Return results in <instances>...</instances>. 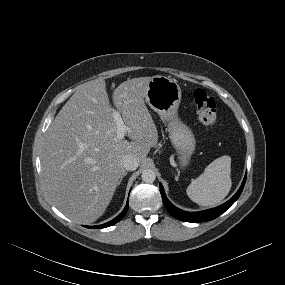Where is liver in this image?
<instances>
[{
	"mask_svg": "<svg viewBox=\"0 0 285 285\" xmlns=\"http://www.w3.org/2000/svg\"><path fill=\"white\" fill-rule=\"evenodd\" d=\"M151 79H129L113 93L131 142L116 137L102 79L80 85L48 128L41 154L43 186L72 221L89 224L102 216L125 173L121 158L131 154L141 164L157 144V128L144 102Z\"/></svg>",
	"mask_w": 285,
	"mask_h": 285,
	"instance_id": "obj_1",
	"label": "liver"
}]
</instances>
